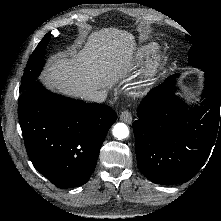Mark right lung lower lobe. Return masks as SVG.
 Returning a JSON list of instances; mask_svg holds the SVG:
<instances>
[{
	"label": "right lung lower lobe",
	"mask_w": 221,
	"mask_h": 221,
	"mask_svg": "<svg viewBox=\"0 0 221 221\" xmlns=\"http://www.w3.org/2000/svg\"><path fill=\"white\" fill-rule=\"evenodd\" d=\"M18 116L34 167L58 188L85 184L116 113L109 106L59 96L35 81L25 89Z\"/></svg>",
	"instance_id": "right-lung-lower-lobe-1"
}]
</instances>
